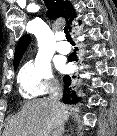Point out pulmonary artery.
Returning a JSON list of instances; mask_svg holds the SVG:
<instances>
[{
    "mask_svg": "<svg viewBox=\"0 0 117 136\" xmlns=\"http://www.w3.org/2000/svg\"><path fill=\"white\" fill-rule=\"evenodd\" d=\"M56 50L61 54H67L70 51V46L65 41H58L55 46Z\"/></svg>",
    "mask_w": 117,
    "mask_h": 136,
    "instance_id": "pulmonary-artery-1",
    "label": "pulmonary artery"
}]
</instances>
